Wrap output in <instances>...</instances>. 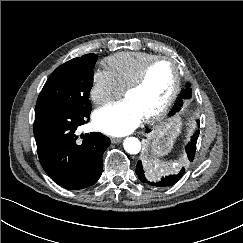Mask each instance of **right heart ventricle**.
Listing matches in <instances>:
<instances>
[{"label":"right heart ventricle","instance_id":"right-heart-ventricle-1","mask_svg":"<svg viewBox=\"0 0 243 243\" xmlns=\"http://www.w3.org/2000/svg\"><path fill=\"white\" fill-rule=\"evenodd\" d=\"M155 57H157L156 54L147 52H120L107 57L103 61V65L119 86L124 89Z\"/></svg>","mask_w":243,"mask_h":243}]
</instances>
